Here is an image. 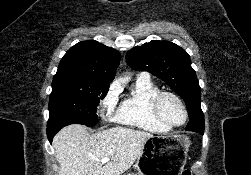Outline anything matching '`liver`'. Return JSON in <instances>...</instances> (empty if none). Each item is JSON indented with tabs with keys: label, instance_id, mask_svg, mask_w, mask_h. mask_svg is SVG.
<instances>
[{
	"label": "liver",
	"instance_id": "6515ba94",
	"mask_svg": "<svg viewBox=\"0 0 251 175\" xmlns=\"http://www.w3.org/2000/svg\"><path fill=\"white\" fill-rule=\"evenodd\" d=\"M148 137L152 133L129 127H110L89 135L85 125H66L53 139L59 175H120L139 157ZM102 157L110 161L101 163Z\"/></svg>",
	"mask_w": 251,
	"mask_h": 175
}]
</instances>
